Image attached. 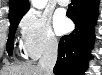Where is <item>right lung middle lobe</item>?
Instances as JSON below:
<instances>
[{
	"instance_id": "obj_1",
	"label": "right lung middle lobe",
	"mask_w": 102,
	"mask_h": 75,
	"mask_svg": "<svg viewBox=\"0 0 102 75\" xmlns=\"http://www.w3.org/2000/svg\"><path fill=\"white\" fill-rule=\"evenodd\" d=\"M25 13L9 17V20H10V31H9V36H8V40H7V51H8L9 55H11L12 51H13L15 31L17 29V26H18L21 18L23 17V15Z\"/></svg>"
}]
</instances>
